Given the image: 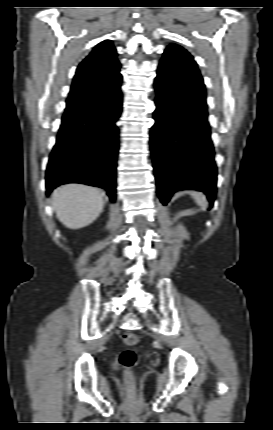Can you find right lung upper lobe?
Returning a JSON list of instances; mask_svg holds the SVG:
<instances>
[{"label": "right lung upper lobe", "mask_w": 273, "mask_h": 430, "mask_svg": "<svg viewBox=\"0 0 273 430\" xmlns=\"http://www.w3.org/2000/svg\"><path fill=\"white\" fill-rule=\"evenodd\" d=\"M120 63L117 52L110 40L96 45L92 52L78 66L72 87L67 99L65 114L84 106L89 97V91L100 86L103 79L121 78Z\"/></svg>", "instance_id": "right-lung-upper-lobe-1"}]
</instances>
